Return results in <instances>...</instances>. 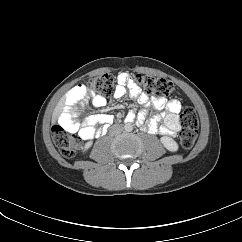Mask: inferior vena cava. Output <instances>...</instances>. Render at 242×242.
I'll return each instance as SVG.
<instances>
[{
  "mask_svg": "<svg viewBox=\"0 0 242 242\" xmlns=\"http://www.w3.org/2000/svg\"><path fill=\"white\" fill-rule=\"evenodd\" d=\"M122 131H123V128H122V126H120V125H114V126L111 128V133H112L113 135H118V134H120Z\"/></svg>",
  "mask_w": 242,
  "mask_h": 242,
  "instance_id": "obj_1",
  "label": "inferior vena cava"
}]
</instances>
